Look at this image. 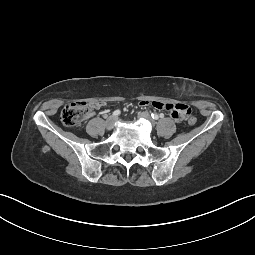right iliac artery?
<instances>
[{
	"label": "right iliac artery",
	"instance_id": "right-iliac-artery-1",
	"mask_svg": "<svg viewBox=\"0 0 255 255\" xmlns=\"http://www.w3.org/2000/svg\"><path fill=\"white\" fill-rule=\"evenodd\" d=\"M120 113H121L120 110H115V111L113 112V116H118V115H120Z\"/></svg>",
	"mask_w": 255,
	"mask_h": 255
}]
</instances>
